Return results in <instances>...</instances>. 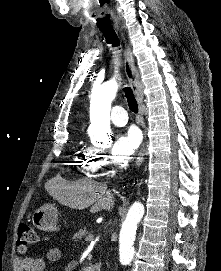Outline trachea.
Listing matches in <instances>:
<instances>
[{"instance_id": "1", "label": "trachea", "mask_w": 221, "mask_h": 271, "mask_svg": "<svg viewBox=\"0 0 221 271\" xmlns=\"http://www.w3.org/2000/svg\"><path fill=\"white\" fill-rule=\"evenodd\" d=\"M101 32L103 33L106 42L112 44V46L118 47L120 42L112 27H99ZM123 91L125 93V97L128 102L129 109L133 111V113L138 112V104L132 92V89L129 86H124Z\"/></svg>"}]
</instances>
